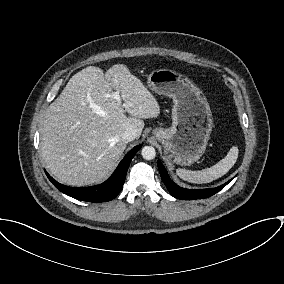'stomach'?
<instances>
[{
	"mask_svg": "<svg viewBox=\"0 0 284 284\" xmlns=\"http://www.w3.org/2000/svg\"><path fill=\"white\" fill-rule=\"evenodd\" d=\"M148 86L173 99L172 125L155 128L154 137L163 145L165 157L181 166L198 161L205 152L213 119L202 91L188 77L169 69L154 70Z\"/></svg>",
	"mask_w": 284,
	"mask_h": 284,
	"instance_id": "stomach-1",
	"label": "stomach"
}]
</instances>
